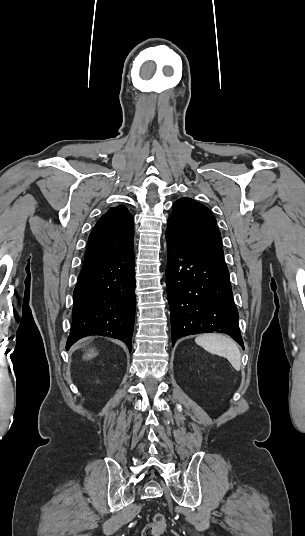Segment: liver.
Listing matches in <instances>:
<instances>
[{
	"label": "liver",
	"mask_w": 305,
	"mask_h": 536,
	"mask_svg": "<svg viewBox=\"0 0 305 536\" xmlns=\"http://www.w3.org/2000/svg\"><path fill=\"white\" fill-rule=\"evenodd\" d=\"M94 356H96V354H94V350H90V352H88V354H86V356H84V358H94Z\"/></svg>",
	"instance_id": "obj_1"
}]
</instances>
